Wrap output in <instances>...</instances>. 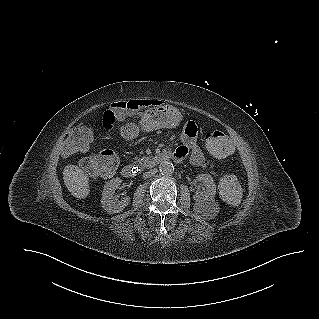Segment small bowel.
Wrapping results in <instances>:
<instances>
[{"label": "small bowel", "instance_id": "1", "mask_svg": "<svg viewBox=\"0 0 319 319\" xmlns=\"http://www.w3.org/2000/svg\"><path fill=\"white\" fill-rule=\"evenodd\" d=\"M155 103L157 102L152 100L114 99L113 105L101 113L99 128L102 131H109L117 120L123 121L127 115ZM179 127L184 132L181 135V145L173 152L174 159L183 162L189 158V161L194 165H206L208 162L197 143V135L201 129L199 123L193 120L181 121Z\"/></svg>", "mask_w": 319, "mask_h": 319}]
</instances>
